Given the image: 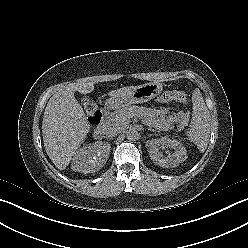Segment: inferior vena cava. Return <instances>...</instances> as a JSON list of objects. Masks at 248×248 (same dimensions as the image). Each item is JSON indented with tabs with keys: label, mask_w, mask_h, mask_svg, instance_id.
<instances>
[{
	"label": "inferior vena cava",
	"mask_w": 248,
	"mask_h": 248,
	"mask_svg": "<svg viewBox=\"0 0 248 248\" xmlns=\"http://www.w3.org/2000/svg\"><path fill=\"white\" fill-rule=\"evenodd\" d=\"M122 130H123L122 127L112 126V127L107 128L105 133L107 137H115L119 135L122 132Z\"/></svg>",
	"instance_id": "inferior-vena-cava-1"
}]
</instances>
